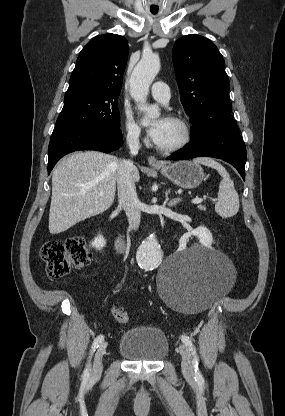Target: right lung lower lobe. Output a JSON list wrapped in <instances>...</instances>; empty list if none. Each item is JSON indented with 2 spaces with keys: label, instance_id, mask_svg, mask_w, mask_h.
<instances>
[{
  "label": "right lung lower lobe",
  "instance_id": "right-lung-lower-lobe-1",
  "mask_svg": "<svg viewBox=\"0 0 285 416\" xmlns=\"http://www.w3.org/2000/svg\"><path fill=\"white\" fill-rule=\"evenodd\" d=\"M122 144L120 130L94 128L54 129L48 147V174L64 155L78 150H97L105 153Z\"/></svg>",
  "mask_w": 285,
  "mask_h": 416
}]
</instances>
